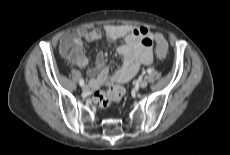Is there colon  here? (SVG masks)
Returning a JSON list of instances; mask_svg holds the SVG:
<instances>
[{
	"label": "colon",
	"mask_w": 230,
	"mask_h": 155,
	"mask_svg": "<svg viewBox=\"0 0 230 155\" xmlns=\"http://www.w3.org/2000/svg\"><path fill=\"white\" fill-rule=\"evenodd\" d=\"M157 60L162 62L167 57V42L162 34L157 35L156 39ZM62 51L65 56L71 57L78 53V37L75 34L69 33L63 42ZM124 90L122 87L115 86L108 91H96L93 96V101L97 107L105 109L117 103L122 99Z\"/></svg>",
	"instance_id": "1"
}]
</instances>
